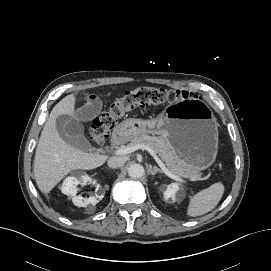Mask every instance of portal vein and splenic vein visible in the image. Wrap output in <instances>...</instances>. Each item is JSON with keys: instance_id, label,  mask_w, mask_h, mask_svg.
Segmentation results:
<instances>
[{"instance_id": "18ae733b", "label": "portal vein and splenic vein", "mask_w": 271, "mask_h": 271, "mask_svg": "<svg viewBox=\"0 0 271 271\" xmlns=\"http://www.w3.org/2000/svg\"><path fill=\"white\" fill-rule=\"evenodd\" d=\"M138 149H142V150H146L153 158L154 160L157 162V164L159 165V167L162 169V171L171 179L176 180V181H180V182H185L183 179H181L179 176L174 175L173 173H171L168 168L165 166V164L163 163V161L159 158V156L157 155V153L148 145H144V144H138L135 146H127L124 148H119L117 150L114 151V154L116 155H126V154H130ZM192 181L194 180H201L200 177H192L191 178Z\"/></svg>"}]
</instances>
